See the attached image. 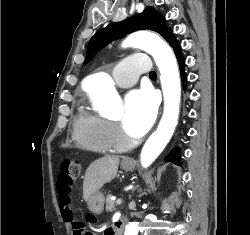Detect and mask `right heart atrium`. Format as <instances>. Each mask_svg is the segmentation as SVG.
<instances>
[{
	"label": "right heart atrium",
	"instance_id": "1",
	"mask_svg": "<svg viewBox=\"0 0 250 235\" xmlns=\"http://www.w3.org/2000/svg\"><path fill=\"white\" fill-rule=\"evenodd\" d=\"M109 132H110V137L114 142L121 145L125 143V137L123 136V134L116 125L110 124Z\"/></svg>",
	"mask_w": 250,
	"mask_h": 235
}]
</instances>
